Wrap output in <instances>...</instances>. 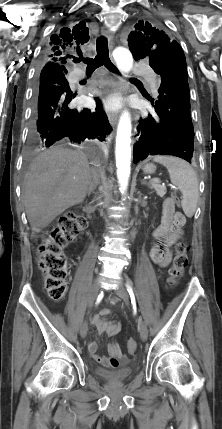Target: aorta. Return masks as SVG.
<instances>
[{"label":"aorta","mask_w":222,"mask_h":429,"mask_svg":"<svg viewBox=\"0 0 222 429\" xmlns=\"http://www.w3.org/2000/svg\"><path fill=\"white\" fill-rule=\"evenodd\" d=\"M118 68L127 73L132 69L133 57L128 49L117 48L113 52ZM131 116L127 110L121 114L116 135V167L120 190L124 194L127 189L131 171Z\"/></svg>","instance_id":"762f6f07"}]
</instances>
